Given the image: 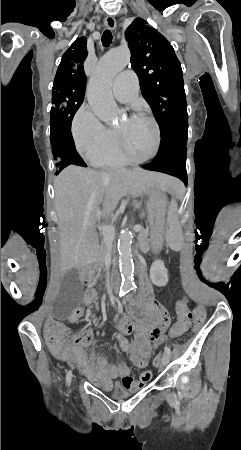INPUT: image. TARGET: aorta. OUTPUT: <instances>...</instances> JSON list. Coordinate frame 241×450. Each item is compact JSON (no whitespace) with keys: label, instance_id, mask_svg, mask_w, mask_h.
Segmentation results:
<instances>
[{"label":"aorta","instance_id":"762f6f07","mask_svg":"<svg viewBox=\"0 0 241 450\" xmlns=\"http://www.w3.org/2000/svg\"><path fill=\"white\" fill-rule=\"evenodd\" d=\"M130 61L128 48H117L109 51L98 63L89 84L87 100L95 115L106 123L118 119L119 108L111 94L113 78L122 71ZM131 231H121L118 239L119 267L122 284L130 287L134 284V263L132 257Z\"/></svg>","mask_w":241,"mask_h":450}]
</instances>
